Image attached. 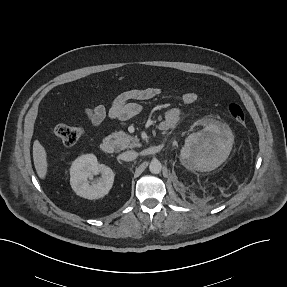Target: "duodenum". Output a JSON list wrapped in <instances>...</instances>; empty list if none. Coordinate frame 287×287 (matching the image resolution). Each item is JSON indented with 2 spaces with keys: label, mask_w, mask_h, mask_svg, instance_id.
I'll list each match as a JSON object with an SVG mask.
<instances>
[{
  "label": "duodenum",
  "mask_w": 287,
  "mask_h": 287,
  "mask_svg": "<svg viewBox=\"0 0 287 287\" xmlns=\"http://www.w3.org/2000/svg\"><path fill=\"white\" fill-rule=\"evenodd\" d=\"M101 150L106 154H111L114 151V141L107 137L101 143Z\"/></svg>",
  "instance_id": "1"
}]
</instances>
